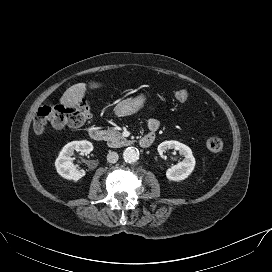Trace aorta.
Here are the masks:
<instances>
[{
	"label": "aorta",
	"mask_w": 272,
	"mask_h": 272,
	"mask_svg": "<svg viewBox=\"0 0 272 272\" xmlns=\"http://www.w3.org/2000/svg\"><path fill=\"white\" fill-rule=\"evenodd\" d=\"M123 159L126 162H135L139 159V152L134 147H128L123 152Z\"/></svg>",
	"instance_id": "obj_1"
}]
</instances>
